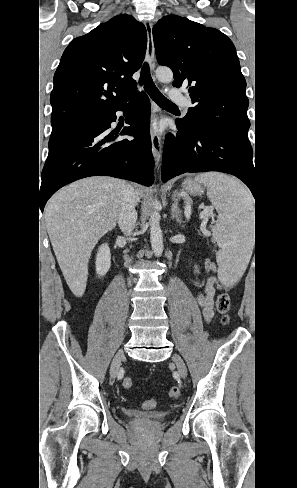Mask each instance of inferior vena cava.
<instances>
[{"mask_svg": "<svg viewBox=\"0 0 297 488\" xmlns=\"http://www.w3.org/2000/svg\"><path fill=\"white\" fill-rule=\"evenodd\" d=\"M137 200L134 189L127 185L121 198L118 224L122 232L128 236L131 235L137 221V212L135 210Z\"/></svg>", "mask_w": 297, "mask_h": 488, "instance_id": "602c4592", "label": "inferior vena cava"}]
</instances>
